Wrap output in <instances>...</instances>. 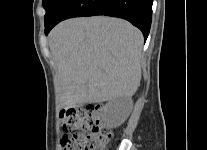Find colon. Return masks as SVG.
Wrapping results in <instances>:
<instances>
[{"mask_svg": "<svg viewBox=\"0 0 207 150\" xmlns=\"http://www.w3.org/2000/svg\"><path fill=\"white\" fill-rule=\"evenodd\" d=\"M61 126L67 132L61 140L62 150H106L112 132L101 125L100 111L96 107L63 110Z\"/></svg>", "mask_w": 207, "mask_h": 150, "instance_id": "obj_1", "label": "colon"}]
</instances>
